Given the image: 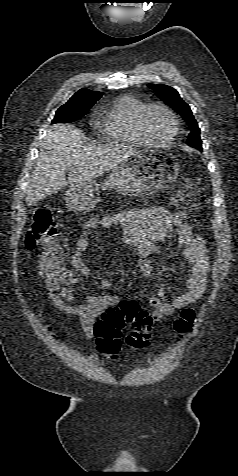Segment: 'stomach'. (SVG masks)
I'll return each mask as SVG.
<instances>
[{
  "instance_id": "obj_1",
  "label": "stomach",
  "mask_w": 238,
  "mask_h": 476,
  "mask_svg": "<svg viewBox=\"0 0 238 476\" xmlns=\"http://www.w3.org/2000/svg\"><path fill=\"white\" fill-rule=\"evenodd\" d=\"M179 161L164 151H133L118 163L109 177L98 184L91 180L70 186L65 194L68 208L74 212L92 210L101 190H116L123 195H156L177 178Z\"/></svg>"
}]
</instances>
